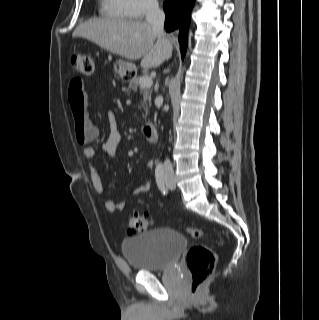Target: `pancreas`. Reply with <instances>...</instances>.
<instances>
[{"label": "pancreas", "instance_id": "1", "mask_svg": "<svg viewBox=\"0 0 319 320\" xmlns=\"http://www.w3.org/2000/svg\"><path fill=\"white\" fill-rule=\"evenodd\" d=\"M140 79L141 77H137L132 79L129 82V86L127 89V94H130V91L133 90L134 92L137 91L138 87H140ZM141 92L143 93V100L141 101V107L145 110L146 114L148 113V107L151 106V94L152 91L149 88H142L140 87Z\"/></svg>", "mask_w": 319, "mask_h": 320}]
</instances>
